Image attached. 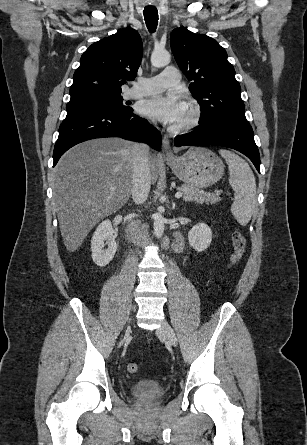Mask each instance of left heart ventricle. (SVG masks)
<instances>
[{"instance_id": "obj_1", "label": "left heart ventricle", "mask_w": 307, "mask_h": 445, "mask_svg": "<svg viewBox=\"0 0 307 445\" xmlns=\"http://www.w3.org/2000/svg\"><path fill=\"white\" fill-rule=\"evenodd\" d=\"M187 117H188V110H187V112H186L184 118H183L182 120H180L179 122H177V124H178V123H181L182 121H184Z\"/></svg>"}]
</instances>
